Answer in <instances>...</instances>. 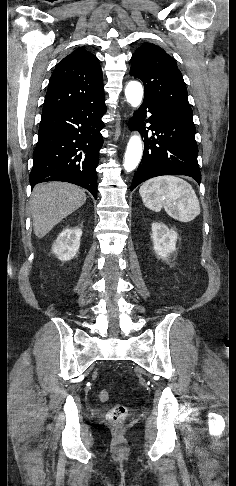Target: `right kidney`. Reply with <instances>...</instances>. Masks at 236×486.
I'll return each mask as SVG.
<instances>
[{"label":"right kidney","mask_w":236,"mask_h":486,"mask_svg":"<svg viewBox=\"0 0 236 486\" xmlns=\"http://www.w3.org/2000/svg\"><path fill=\"white\" fill-rule=\"evenodd\" d=\"M81 236L82 230L78 227L64 229L52 245V252L61 261L73 259L79 250Z\"/></svg>","instance_id":"obj_1"}]
</instances>
